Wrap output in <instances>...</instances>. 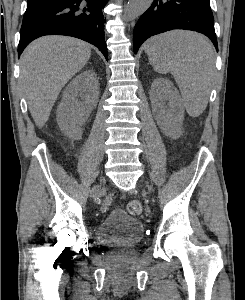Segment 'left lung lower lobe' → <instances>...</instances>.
<instances>
[{"label":"left lung lower lobe","mask_w":245,"mask_h":300,"mask_svg":"<svg viewBox=\"0 0 245 300\" xmlns=\"http://www.w3.org/2000/svg\"><path fill=\"white\" fill-rule=\"evenodd\" d=\"M173 29L200 32L218 51L210 0H154L135 25L134 53L149 37Z\"/></svg>","instance_id":"1"}]
</instances>
